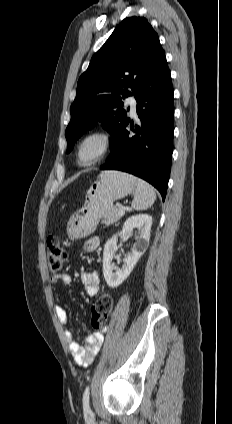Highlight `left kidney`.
Returning a JSON list of instances; mask_svg holds the SVG:
<instances>
[{
	"label": "left kidney",
	"instance_id": "5707ae66",
	"mask_svg": "<svg viewBox=\"0 0 232 424\" xmlns=\"http://www.w3.org/2000/svg\"><path fill=\"white\" fill-rule=\"evenodd\" d=\"M151 226L152 217L150 215L138 214L131 216L125 221L122 230L107 241L103 253V275L109 287H118L130 275L149 245ZM133 230L138 233L137 241L133 245L131 253L124 259L122 268H116L112 260L117 250L118 236H128Z\"/></svg>",
	"mask_w": 232,
	"mask_h": 424
}]
</instances>
